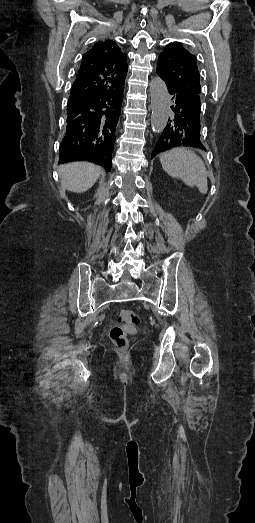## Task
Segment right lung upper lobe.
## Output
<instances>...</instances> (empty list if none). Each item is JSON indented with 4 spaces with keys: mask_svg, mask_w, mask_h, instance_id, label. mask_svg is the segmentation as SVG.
Instances as JSON below:
<instances>
[{
    "mask_svg": "<svg viewBox=\"0 0 255 523\" xmlns=\"http://www.w3.org/2000/svg\"><path fill=\"white\" fill-rule=\"evenodd\" d=\"M127 54L113 41L95 43L82 58L67 104L66 135L59 148V163L89 160L111 170L115 132L120 116ZM92 98L100 100V142L94 152H83V114L79 103Z\"/></svg>",
    "mask_w": 255,
    "mask_h": 523,
    "instance_id": "obj_1",
    "label": "right lung upper lobe"
}]
</instances>
